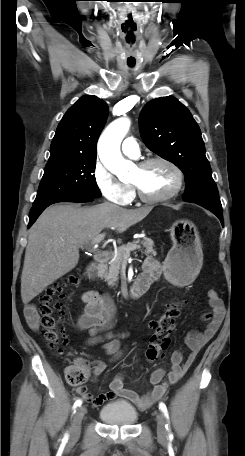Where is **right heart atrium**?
Instances as JSON below:
<instances>
[{
	"instance_id": "d8ad5b80",
	"label": "right heart atrium",
	"mask_w": 245,
	"mask_h": 456,
	"mask_svg": "<svg viewBox=\"0 0 245 456\" xmlns=\"http://www.w3.org/2000/svg\"><path fill=\"white\" fill-rule=\"evenodd\" d=\"M92 177L97 189L108 201L118 205L131 201L132 187L119 181L99 160L94 163Z\"/></svg>"
}]
</instances>
